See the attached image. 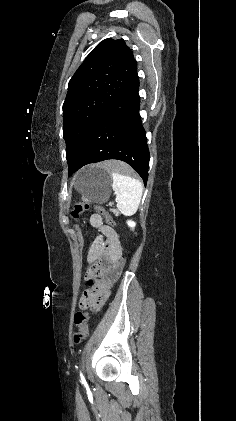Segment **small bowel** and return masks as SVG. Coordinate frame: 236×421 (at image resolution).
<instances>
[{"label":"small bowel","instance_id":"c3829d8e","mask_svg":"<svg viewBox=\"0 0 236 421\" xmlns=\"http://www.w3.org/2000/svg\"><path fill=\"white\" fill-rule=\"evenodd\" d=\"M90 223L91 225L96 229L99 236H103L107 239L106 243H96L93 245L89 251L88 260L90 262L95 260V257L97 255V247L98 246H105V247H114L118 250H120V244L118 241V235L116 232L109 226L105 225L103 223V220L100 215L98 214H92L90 217ZM88 301V297L87 300Z\"/></svg>","mask_w":236,"mask_h":421}]
</instances>
